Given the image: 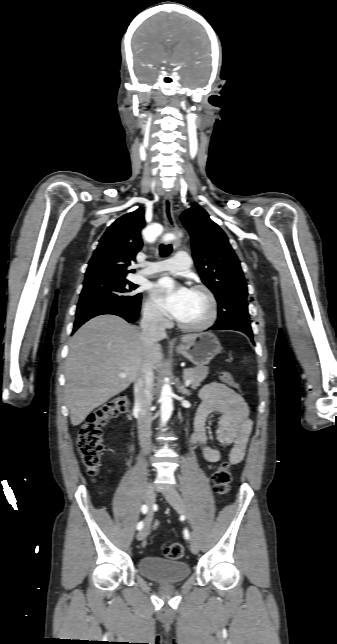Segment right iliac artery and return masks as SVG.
Here are the masks:
<instances>
[{"mask_svg": "<svg viewBox=\"0 0 337 644\" xmlns=\"http://www.w3.org/2000/svg\"><path fill=\"white\" fill-rule=\"evenodd\" d=\"M141 511H142V513H143V514H146V513H147V511H148V506H147V505H143V506L141 507ZM143 526H144V524H143V522L141 521V522H139V523L137 524V529H138V530H141V529L143 528Z\"/></svg>", "mask_w": 337, "mask_h": 644, "instance_id": "82829eb1", "label": "right iliac artery"}]
</instances>
